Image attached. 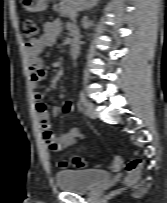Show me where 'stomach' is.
Segmentation results:
<instances>
[{"label":"stomach","mask_w":167,"mask_h":203,"mask_svg":"<svg viewBox=\"0 0 167 203\" xmlns=\"http://www.w3.org/2000/svg\"><path fill=\"white\" fill-rule=\"evenodd\" d=\"M50 0H21L22 6L30 12H39L47 9Z\"/></svg>","instance_id":"obj_1"}]
</instances>
